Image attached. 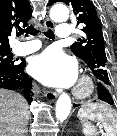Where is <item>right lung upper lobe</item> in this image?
Returning a JSON list of instances; mask_svg holds the SVG:
<instances>
[{"mask_svg": "<svg viewBox=\"0 0 117 136\" xmlns=\"http://www.w3.org/2000/svg\"><path fill=\"white\" fill-rule=\"evenodd\" d=\"M32 17L28 0H0V52L10 51L9 39L12 30L27 25Z\"/></svg>", "mask_w": 117, "mask_h": 136, "instance_id": "right-lung-upper-lobe-1", "label": "right lung upper lobe"}]
</instances>
